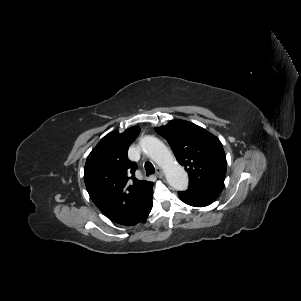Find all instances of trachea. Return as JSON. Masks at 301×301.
<instances>
[{"instance_id":"1","label":"trachea","mask_w":301,"mask_h":301,"mask_svg":"<svg viewBox=\"0 0 301 301\" xmlns=\"http://www.w3.org/2000/svg\"><path fill=\"white\" fill-rule=\"evenodd\" d=\"M145 171H146V175H150L155 172V168L152 165V163H150V162L145 163Z\"/></svg>"}]
</instances>
